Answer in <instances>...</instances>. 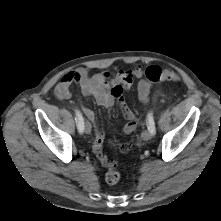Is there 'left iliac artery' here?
<instances>
[{
	"label": "left iliac artery",
	"mask_w": 221,
	"mask_h": 221,
	"mask_svg": "<svg viewBox=\"0 0 221 221\" xmlns=\"http://www.w3.org/2000/svg\"><path fill=\"white\" fill-rule=\"evenodd\" d=\"M147 127H148V129L152 132V134H155L156 129H155V122H154V119H153V114H152V112H150V113L147 115Z\"/></svg>",
	"instance_id": "44dca946"
}]
</instances>
